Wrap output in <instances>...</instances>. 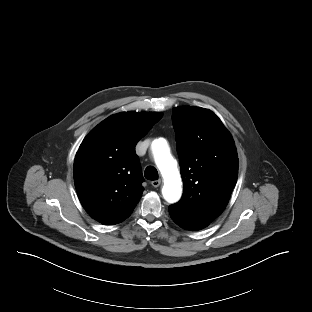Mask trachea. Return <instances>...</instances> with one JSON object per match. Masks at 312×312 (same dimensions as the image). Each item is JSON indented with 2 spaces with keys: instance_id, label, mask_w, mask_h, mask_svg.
Returning a JSON list of instances; mask_svg holds the SVG:
<instances>
[{
  "instance_id": "obj_1",
  "label": "trachea",
  "mask_w": 312,
  "mask_h": 312,
  "mask_svg": "<svg viewBox=\"0 0 312 312\" xmlns=\"http://www.w3.org/2000/svg\"><path fill=\"white\" fill-rule=\"evenodd\" d=\"M144 176L148 180H157L158 179V171L153 166H148L145 169Z\"/></svg>"
}]
</instances>
